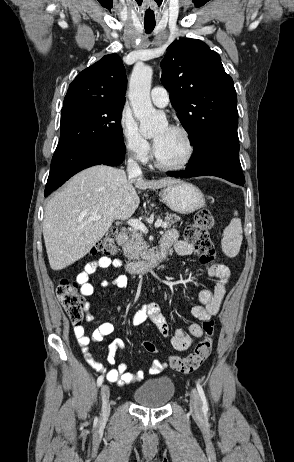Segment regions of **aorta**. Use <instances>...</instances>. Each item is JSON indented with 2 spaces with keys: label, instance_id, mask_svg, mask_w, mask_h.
I'll return each instance as SVG.
<instances>
[{
  "label": "aorta",
  "instance_id": "762f6f07",
  "mask_svg": "<svg viewBox=\"0 0 294 462\" xmlns=\"http://www.w3.org/2000/svg\"><path fill=\"white\" fill-rule=\"evenodd\" d=\"M153 70L147 65H136L129 83V100L135 117L140 122L144 134H152L162 124L150 99Z\"/></svg>",
  "mask_w": 294,
  "mask_h": 462
}]
</instances>
